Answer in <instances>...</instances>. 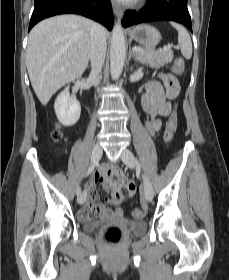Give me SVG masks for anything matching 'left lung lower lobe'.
I'll list each match as a JSON object with an SVG mask.
<instances>
[{
	"instance_id": "1",
	"label": "left lung lower lobe",
	"mask_w": 229,
	"mask_h": 280,
	"mask_svg": "<svg viewBox=\"0 0 229 280\" xmlns=\"http://www.w3.org/2000/svg\"><path fill=\"white\" fill-rule=\"evenodd\" d=\"M172 20L184 24L192 31L187 0H148L140 12L127 11L122 25L126 28L142 22Z\"/></svg>"
}]
</instances>
